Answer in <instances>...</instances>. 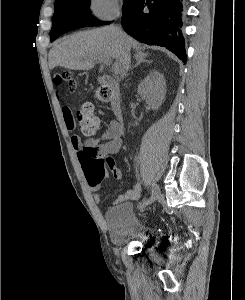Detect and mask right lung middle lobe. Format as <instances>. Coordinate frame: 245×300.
I'll return each instance as SVG.
<instances>
[{
  "instance_id": "obj_1",
  "label": "right lung middle lobe",
  "mask_w": 245,
  "mask_h": 300,
  "mask_svg": "<svg viewBox=\"0 0 245 300\" xmlns=\"http://www.w3.org/2000/svg\"><path fill=\"white\" fill-rule=\"evenodd\" d=\"M136 0H124L122 13L130 8ZM90 0H57L54 6L53 25L50 32V41L55 40L58 36L56 23L60 20H72L83 24V27L101 26L109 24L98 21L91 15Z\"/></svg>"
}]
</instances>
